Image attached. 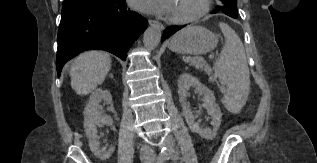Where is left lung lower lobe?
<instances>
[{
	"instance_id": "obj_1",
	"label": "left lung lower lobe",
	"mask_w": 317,
	"mask_h": 163,
	"mask_svg": "<svg viewBox=\"0 0 317 163\" xmlns=\"http://www.w3.org/2000/svg\"><path fill=\"white\" fill-rule=\"evenodd\" d=\"M183 27H184V26L167 28V29L163 32L162 41H164L165 39H167L169 36H171L172 34H174L176 31L182 29Z\"/></svg>"
}]
</instances>
